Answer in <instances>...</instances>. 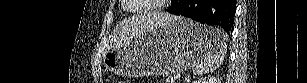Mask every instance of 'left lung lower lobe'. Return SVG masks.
Here are the masks:
<instances>
[{"mask_svg": "<svg viewBox=\"0 0 307 83\" xmlns=\"http://www.w3.org/2000/svg\"><path fill=\"white\" fill-rule=\"evenodd\" d=\"M166 11L183 15L197 22L219 26L232 33L236 12L235 0H172Z\"/></svg>", "mask_w": 307, "mask_h": 83, "instance_id": "obj_1", "label": "left lung lower lobe"}]
</instances>
